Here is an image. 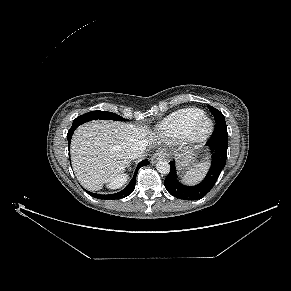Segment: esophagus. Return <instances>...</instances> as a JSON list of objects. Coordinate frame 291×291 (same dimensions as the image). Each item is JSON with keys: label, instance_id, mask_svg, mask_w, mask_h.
<instances>
[{"label": "esophagus", "instance_id": "1", "mask_svg": "<svg viewBox=\"0 0 291 291\" xmlns=\"http://www.w3.org/2000/svg\"><path fill=\"white\" fill-rule=\"evenodd\" d=\"M166 157V152L164 150H159L150 159L152 164H155L158 160L164 159Z\"/></svg>", "mask_w": 291, "mask_h": 291}]
</instances>
